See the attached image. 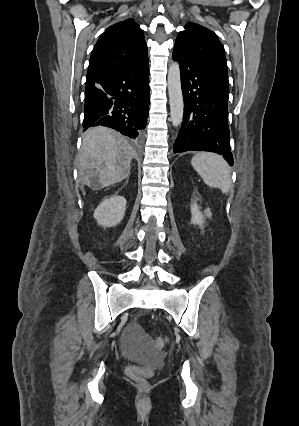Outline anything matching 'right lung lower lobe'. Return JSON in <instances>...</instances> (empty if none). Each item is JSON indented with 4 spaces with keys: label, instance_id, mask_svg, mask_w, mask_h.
Masks as SVG:
<instances>
[{
    "label": "right lung lower lobe",
    "instance_id": "1",
    "mask_svg": "<svg viewBox=\"0 0 299 426\" xmlns=\"http://www.w3.org/2000/svg\"><path fill=\"white\" fill-rule=\"evenodd\" d=\"M149 110V67L119 70L87 78L83 127L107 126L139 138Z\"/></svg>",
    "mask_w": 299,
    "mask_h": 426
}]
</instances>
